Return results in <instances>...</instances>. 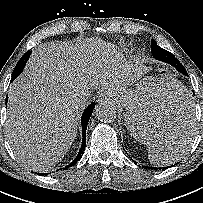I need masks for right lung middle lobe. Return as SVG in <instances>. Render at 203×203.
Here are the masks:
<instances>
[{"instance_id":"1","label":"right lung middle lobe","mask_w":203,"mask_h":203,"mask_svg":"<svg viewBox=\"0 0 203 203\" xmlns=\"http://www.w3.org/2000/svg\"><path fill=\"white\" fill-rule=\"evenodd\" d=\"M22 71L23 69H20L19 67H15L11 80H14Z\"/></svg>"}]
</instances>
